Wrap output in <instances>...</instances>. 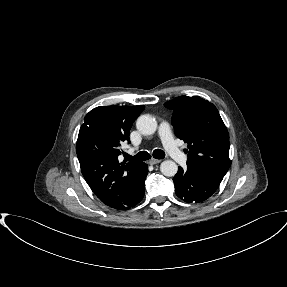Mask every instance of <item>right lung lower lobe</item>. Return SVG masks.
<instances>
[{"label":"right lung lower lobe","instance_id":"98d812e1","mask_svg":"<svg viewBox=\"0 0 287 287\" xmlns=\"http://www.w3.org/2000/svg\"><path fill=\"white\" fill-rule=\"evenodd\" d=\"M147 174V164L141 163L136 177L130 181L128 188L108 206L117 210H126L137 205L144 196Z\"/></svg>","mask_w":287,"mask_h":287}]
</instances>
